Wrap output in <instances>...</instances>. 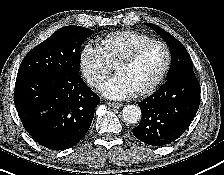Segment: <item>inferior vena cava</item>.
Instances as JSON below:
<instances>
[{
	"label": "inferior vena cava",
	"mask_w": 224,
	"mask_h": 175,
	"mask_svg": "<svg viewBox=\"0 0 224 175\" xmlns=\"http://www.w3.org/2000/svg\"><path fill=\"white\" fill-rule=\"evenodd\" d=\"M98 79L97 78H91L88 82L91 84V85H97L98 84Z\"/></svg>",
	"instance_id": "inferior-vena-cava-1"
}]
</instances>
